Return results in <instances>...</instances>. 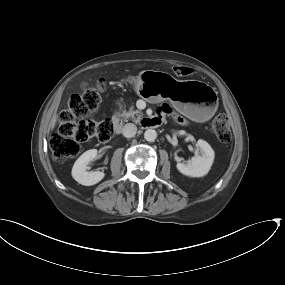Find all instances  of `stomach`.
Masks as SVG:
<instances>
[{"mask_svg": "<svg viewBox=\"0 0 285 285\" xmlns=\"http://www.w3.org/2000/svg\"><path fill=\"white\" fill-rule=\"evenodd\" d=\"M128 81L147 102L167 99L177 111L196 122L209 120L217 110L216 92L202 81L177 80L156 70H144Z\"/></svg>", "mask_w": 285, "mask_h": 285, "instance_id": "1", "label": "stomach"}]
</instances>
